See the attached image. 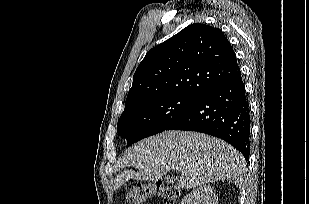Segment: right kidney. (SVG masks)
I'll use <instances>...</instances> for the list:
<instances>
[{"label":"right kidney","mask_w":309,"mask_h":204,"mask_svg":"<svg viewBox=\"0 0 309 204\" xmlns=\"http://www.w3.org/2000/svg\"><path fill=\"white\" fill-rule=\"evenodd\" d=\"M180 204H218V200L214 188L203 185L193 189Z\"/></svg>","instance_id":"ca27d5eb"}]
</instances>
